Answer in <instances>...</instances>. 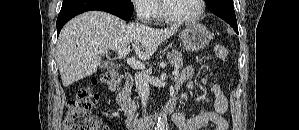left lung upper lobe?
I'll use <instances>...</instances> for the list:
<instances>
[{
	"label": "left lung upper lobe",
	"instance_id": "left-lung-upper-lobe-1",
	"mask_svg": "<svg viewBox=\"0 0 299 130\" xmlns=\"http://www.w3.org/2000/svg\"><path fill=\"white\" fill-rule=\"evenodd\" d=\"M210 0H206V3H208Z\"/></svg>",
	"mask_w": 299,
	"mask_h": 130
}]
</instances>
